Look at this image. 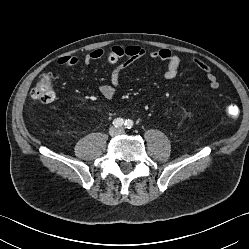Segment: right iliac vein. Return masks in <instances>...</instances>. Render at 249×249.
I'll use <instances>...</instances> for the list:
<instances>
[{
	"label": "right iliac vein",
	"instance_id": "1",
	"mask_svg": "<svg viewBox=\"0 0 249 249\" xmlns=\"http://www.w3.org/2000/svg\"><path fill=\"white\" fill-rule=\"evenodd\" d=\"M118 133V130L116 129V128H112L111 130H110V134L111 135H116Z\"/></svg>",
	"mask_w": 249,
	"mask_h": 249
}]
</instances>
